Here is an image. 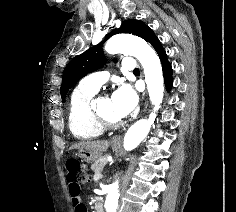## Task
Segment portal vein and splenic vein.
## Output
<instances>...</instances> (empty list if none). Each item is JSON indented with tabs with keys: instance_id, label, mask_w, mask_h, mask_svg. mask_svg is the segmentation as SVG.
Returning <instances> with one entry per match:
<instances>
[{
	"instance_id": "18ae733b",
	"label": "portal vein and splenic vein",
	"mask_w": 236,
	"mask_h": 212,
	"mask_svg": "<svg viewBox=\"0 0 236 212\" xmlns=\"http://www.w3.org/2000/svg\"><path fill=\"white\" fill-rule=\"evenodd\" d=\"M103 176L100 175V176H95V179H99V178H102Z\"/></svg>"
}]
</instances>
